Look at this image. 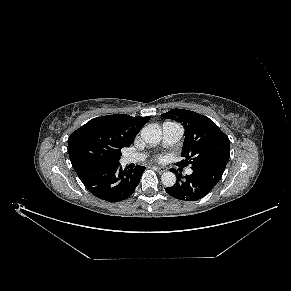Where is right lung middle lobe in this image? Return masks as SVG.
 <instances>
[{
    "instance_id": "dd1d6c3e",
    "label": "right lung middle lobe",
    "mask_w": 291,
    "mask_h": 291,
    "mask_svg": "<svg viewBox=\"0 0 291 291\" xmlns=\"http://www.w3.org/2000/svg\"><path fill=\"white\" fill-rule=\"evenodd\" d=\"M120 156H121V155L110 156V155H108L107 153L99 152V153L95 154V159H94V161H95V160H105V161H108V162L115 163V162H118V161H119Z\"/></svg>"
}]
</instances>
